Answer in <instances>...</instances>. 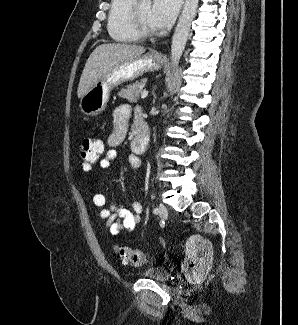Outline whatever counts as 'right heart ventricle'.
Masks as SVG:
<instances>
[{"mask_svg":"<svg viewBox=\"0 0 298 325\" xmlns=\"http://www.w3.org/2000/svg\"><path fill=\"white\" fill-rule=\"evenodd\" d=\"M130 1L115 0L111 3L107 18V32L109 37H114V41H137L126 28Z\"/></svg>","mask_w":298,"mask_h":325,"instance_id":"1","label":"right heart ventricle"}]
</instances>
